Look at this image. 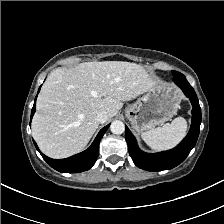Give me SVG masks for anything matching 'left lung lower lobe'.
<instances>
[{"instance_id":"0a47b994","label":"left lung lower lobe","mask_w":224,"mask_h":224,"mask_svg":"<svg viewBox=\"0 0 224 224\" xmlns=\"http://www.w3.org/2000/svg\"><path fill=\"white\" fill-rule=\"evenodd\" d=\"M173 81L182 89L192 103V124L190 131L183 141L174 149L149 154L138 148L135 137L130 130L125 127V139L128 144L130 156L135 165L141 169L148 171L172 169L185 160L197 142L201 124V108L196 93L183 74L174 77Z\"/></svg>"}]
</instances>
